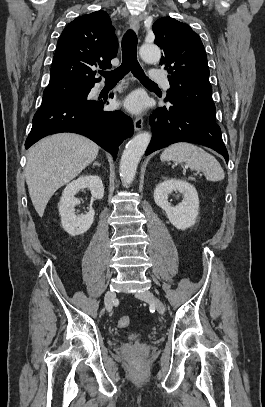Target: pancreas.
<instances>
[{
    "instance_id": "1",
    "label": "pancreas",
    "mask_w": 265,
    "mask_h": 407,
    "mask_svg": "<svg viewBox=\"0 0 265 407\" xmlns=\"http://www.w3.org/2000/svg\"><path fill=\"white\" fill-rule=\"evenodd\" d=\"M188 179L192 180V181H195V178H193V177H189Z\"/></svg>"
}]
</instances>
